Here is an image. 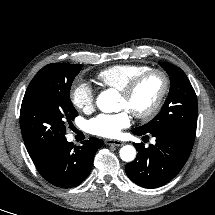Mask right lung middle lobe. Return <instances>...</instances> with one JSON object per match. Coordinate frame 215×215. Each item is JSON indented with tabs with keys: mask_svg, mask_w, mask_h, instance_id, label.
Wrapping results in <instances>:
<instances>
[{
	"mask_svg": "<svg viewBox=\"0 0 215 215\" xmlns=\"http://www.w3.org/2000/svg\"><path fill=\"white\" fill-rule=\"evenodd\" d=\"M82 65L54 63L30 82L20 110V126L30 157L42 155L65 138L66 125L77 116L70 88Z\"/></svg>",
	"mask_w": 215,
	"mask_h": 215,
	"instance_id": "obj_1",
	"label": "right lung middle lobe"
}]
</instances>
